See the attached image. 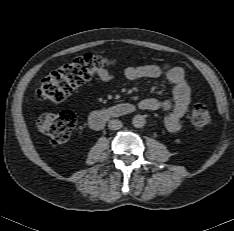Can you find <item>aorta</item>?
<instances>
[{
    "mask_svg": "<svg viewBox=\"0 0 234 231\" xmlns=\"http://www.w3.org/2000/svg\"><path fill=\"white\" fill-rule=\"evenodd\" d=\"M145 123H146V120L142 115H136L132 118V124L136 128L144 127Z\"/></svg>",
    "mask_w": 234,
    "mask_h": 231,
    "instance_id": "obj_1",
    "label": "aorta"
}]
</instances>
